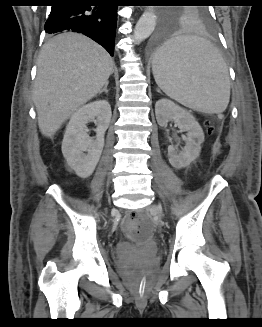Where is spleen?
I'll return each mask as SVG.
<instances>
[{"mask_svg":"<svg viewBox=\"0 0 262 327\" xmlns=\"http://www.w3.org/2000/svg\"><path fill=\"white\" fill-rule=\"evenodd\" d=\"M152 70L161 90L188 108L217 114L228 106V67L219 50L203 38H171L156 51Z\"/></svg>","mask_w":262,"mask_h":327,"instance_id":"obj_1","label":"spleen"}]
</instances>
